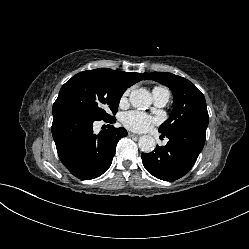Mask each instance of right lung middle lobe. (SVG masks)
I'll list each match as a JSON object with an SVG mask.
<instances>
[{"mask_svg": "<svg viewBox=\"0 0 249 249\" xmlns=\"http://www.w3.org/2000/svg\"><path fill=\"white\" fill-rule=\"evenodd\" d=\"M125 89L99 70L76 74L61 88L54 104H65L95 120H111Z\"/></svg>", "mask_w": 249, "mask_h": 249, "instance_id": "obj_1", "label": "right lung middle lobe"}]
</instances>
